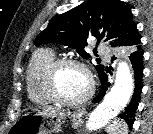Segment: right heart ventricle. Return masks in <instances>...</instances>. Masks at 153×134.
<instances>
[{
  "label": "right heart ventricle",
  "instance_id": "e07e8e85",
  "mask_svg": "<svg viewBox=\"0 0 153 134\" xmlns=\"http://www.w3.org/2000/svg\"><path fill=\"white\" fill-rule=\"evenodd\" d=\"M55 59L49 49H39L30 58L26 69V89L29 99L38 105L53 102L44 88L43 75L46 67Z\"/></svg>",
  "mask_w": 153,
  "mask_h": 134
}]
</instances>
